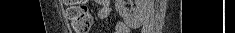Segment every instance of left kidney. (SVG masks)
<instances>
[{
	"mask_svg": "<svg viewBox=\"0 0 235 33\" xmlns=\"http://www.w3.org/2000/svg\"><path fill=\"white\" fill-rule=\"evenodd\" d=\"M126 0H115V9L130 26H138L146 16L149 0H135V7L126 8Z\"/></svg>",
	"mask_w": 235,
	"mask_h": 33,
	"instance_id": "5707ae66",
	"label": "left kidney"
}]
</instances>
